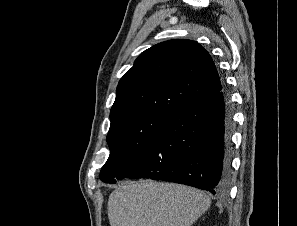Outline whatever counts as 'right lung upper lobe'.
<instances>
[{"label":"right lung upper lobe","mask_w":297,"mask_h":226,"mask_svg":"<svg viewBox=\"0 0 297 226\" xmlns=\"http://www.w3.org/2000/svg\"><path fill=\"white\" fill-rule=\"evenodd\" d=\"M223 84L210 54L197 42L168 40L145 50L120 79L111 124L146 113H173Z\"/></svg>","instance_id":"1"}]
</instances>
